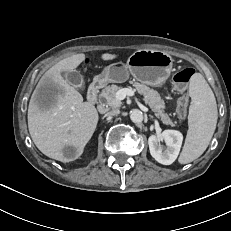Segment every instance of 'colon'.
I'll use <instances>...</instances> for the list:
<instances>
[{
  "label": "colon",
  "instance_id": "5ec220e1",
  "mask_svg": "<svg viewBox=\"0 0 231 231\" xmlns=\"http://www.w3.org/2000/svg\"><path fill=\"white\" fill-rule=\"evenodd\" d=\"M195 71L192 68H183L173 76V82L176 88L181 92V96L177 102V113L180 118H184L189 104V97L185 92L190 79Z\"/></svg>",
  "mask_w": 231,
  "mask_h": 231
}]
</instances>
